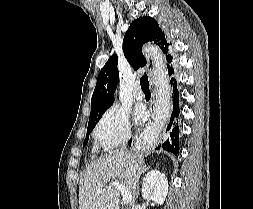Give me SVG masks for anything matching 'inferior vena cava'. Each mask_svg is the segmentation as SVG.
Returning <instances> with one entry per match:
<instances>
[{"mask_svg": "<svg viewBox=\"0 0 253 209\" xmlns=\"http://www.w3.org/2000/svg\"><path fill=\"white\" fill-rule=\"evenodd\" d=\"M126 143H127V139L123 141V144H122V149H125L126 148ZM137 176H135V178L133 179V190H134V193H135V190H136V187H137Z\"/></svg>", "mask_w": 253, "mask_h": 209, "instance_id": "obj_1", "label": "inferior vena cava"}]
</instances>
